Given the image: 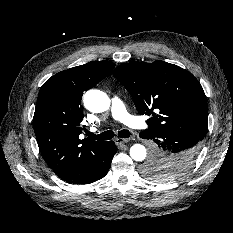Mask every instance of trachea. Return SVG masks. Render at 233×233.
<instances>
[{"mask_svg":"<svg viewBox=\"0 0 233 233\" xmlns=\"http://www.w3.org/2000/svg\"><path fill=\"white\" fill-rule=\"evenodd\" d=\"M87 135L92 137L95 140L105 141V140L112 139L115 134H114L113 131L108 130V131H105V132H103L101 134H98V135L93 134L91 132H87ZM130 135H131V133L128 130H121V131L118 132V136L121 137V138H128V137H130Z\"/></svg>","mask_w":233,"mask_h":233,"instance_id":"obj_1","label":"trachea"}]
</instances>
